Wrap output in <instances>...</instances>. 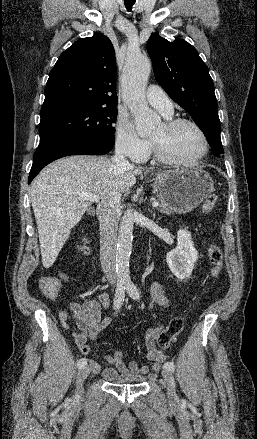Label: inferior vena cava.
<instances>
[{"label":"inferior vena cava","instance_id":"1","mask_svg":"<svg viewBox=\"0 0 257 439\" xmlns=\"http://www.w3.org/2000/svg\"><path fill=\"white\" fill-rule=\"evenodd\" d=\"M112 162L124 169H131L133 166L126 160L121 151H116ZM121 195L113 191L109 196L97 205V216L100 222V260L104 274L111 284H115L117 274L115 269L116 239L118 228V207Z\"/></svg>","mask_w":257,"mask_h":439}]
</instances>
